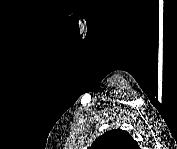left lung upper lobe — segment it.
I'll list each match as a JSON object with an SVG mask.
<instances>
[{"label":"left lung upper lobe","mask_w":177,"mask_h":149,"mask_svg":"<svg viewBox=\"0 0 177 149\" xmlns=\"http://www.w3.org/2000/svg\"><path fill=\"white\" fill-rule=\"evenodd\" d=\"M138 147L127 131L114 129L99 136L90 149H138Z\"/></svg>","instance_id":"1"}]
</instances>
